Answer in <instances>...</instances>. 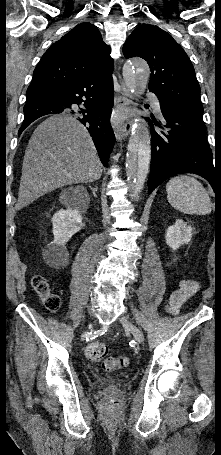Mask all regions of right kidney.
<instances>
[{"label": "right kidney", "instance_id": "1", "mask_svg": "<svg viewBox=\"0 0 221 455\" xmlns=\"http://www.w3.org/2000/svg\"><path fill=\"white\" fill-rule=\"evenodd\" d=\"M52 224L54 240L47 245L44 256L49 262L61 265L69 258L65 244L83 227L82 216L77 209H61L54 214Z\"/></svg>", "mask_w": 221, "mask_h": 455}]
</instances>
